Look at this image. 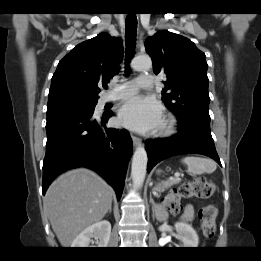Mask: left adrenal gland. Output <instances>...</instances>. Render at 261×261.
<instances>
[{
    "instance_id": "1",
    "label": "left adrenal gland",
    "mask_w": 261,
    "mask_h": 261,
    "mask_svg": "<svg viewBox=\"0 0 261 261\" xmlns=\"http://www.w3.org/2000/svg\"><path fill=\"white\" fill-rule=\"evenodd\" d=\"M150 202H151V204L153 205V207H152V211H153V217H154V212H155V207H156V204H155V202H154V200H153V198H152V195L150 194Z\"/></svg>"
}]
</instances>
